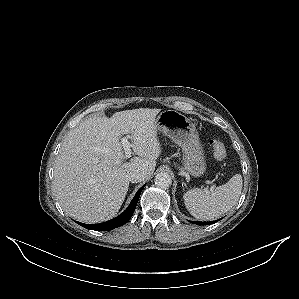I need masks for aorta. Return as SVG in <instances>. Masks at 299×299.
Listing matches in <instances>:
<instances>
[{
  "mask_svg": "<svg viewBox=\"0 0 299 299\" xmlns=\"http://www.w3.org/2000/svg\"><path fill=\"white\" fill-rule=\"evenodd\" d=\"M155 184L162 189H167L172 184V178L168 173H158L155 176Z\"/></svg>",
  "mask_w": 299,
  "mask_h": 299,
  "instance_id": "1",
  "label": "aorta"
}]
</instances>
